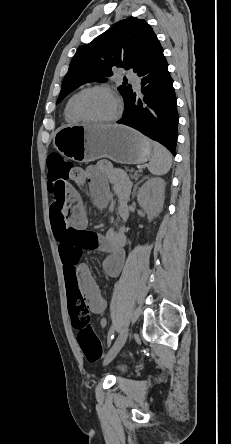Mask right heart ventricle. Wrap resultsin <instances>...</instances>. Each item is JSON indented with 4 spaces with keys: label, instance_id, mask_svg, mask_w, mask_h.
<instances>
[{
    "label": "right heart ventricle",
    "instance_id": "right-heart-ventricle-1",
    "mask_svg": "<svg viewBox=\"0 0 231 444\" xmlns=\"http://www.w3.org/2000/svg\"><path fill=\"white\" fill-rule=\"evenodd\" d=\"M77 94L78 92L69 97L64 108V118L70 124H77L80 122L73 112V102Z\"/></svg>",
    "mask_w": 231,
    "mask_h": 444
}]
</instances>
